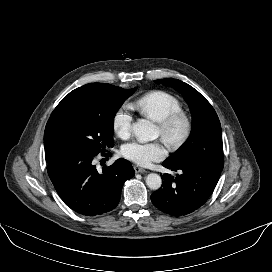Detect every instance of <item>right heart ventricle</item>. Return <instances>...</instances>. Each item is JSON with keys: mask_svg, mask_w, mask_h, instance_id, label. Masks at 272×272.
Instances as JSON below:
<instances>
[{"mask_svg": "<svg viewBox=\"0 0 272 272\" xmlns=\"http://www.w3.org/2000/svg\"><path fill=\"white\" fill-rule=\"evenodd\" d=\"M132 106L143 115L157 122L173 112L180 111L182 108L180 101L174 95L162 90L144 94Z\"/></svg>", "mask_w": 272, "mask_h": 272, "instance_id": "e07e8e85", "label": "right heart ventricle"}]
</instances>
